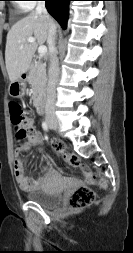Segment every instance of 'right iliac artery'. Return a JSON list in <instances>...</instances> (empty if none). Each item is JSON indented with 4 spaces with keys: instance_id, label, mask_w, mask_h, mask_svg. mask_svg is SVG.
Masks as SVG:
<instances>
[{
    "instance_id": "82829eb1",
    "label": "right iliac artery",
    "mask_w": 133,
    "mask_h": 253,
    "mask_svg": "<svg viewBox=\"0 0 133 253\" xmlns=\"http://www.w3.org/2000/svg\"><path fill=\"white\" fill-rule=\"evenodd\" d=\"M42 128H43L44 130L48 131L49 127H48V124H47L46 121H43V122H42Z\"/></svg>"
}]
</instances>
